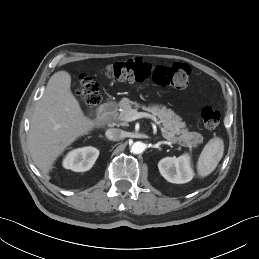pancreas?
Returning <instances> with one entry per match:
<instances>
[{
  "label": "pancreas",
  "mask_w": 259,
  "mask_h": 259,
  "mask_svg": "<svg viewBox=\"0 0 259 259\" xmlns=\"http://www.w3.org/2000/svg\"><path fill=\"white\" fill-rule=\"evenodd\" d=\"M132 106L136 109L142 107L144 110L150 112L153 116L158 117L163 124V137L172 143H178L184 147H197L203 142V136L198 132H189L185 127L186 124L182 122V118L174 113L166 106L149 105L141 106L137 102L131 101L128 98H123L118 107L122 109L121 112H113V117L117 120L123 121L124 117ZM125 125V123H122Z\"/></svg>",
  "instance_id": "1"
}]
</instances>
